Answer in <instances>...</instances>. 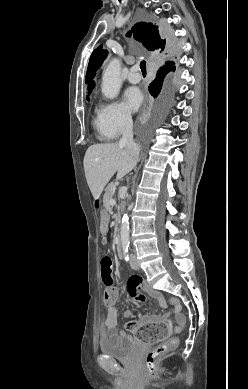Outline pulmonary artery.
<instances>
[{"mask_svg":"<svg viewBox=\"0 0 248 389\" xmlns=\"http://www.w3.org/2000/svg\"><path fill=\"white\" fill-rule=\"evenodd\" d=\"M127 79L130 83H138L141 80V75L138 73V66H133L128 75Z\"/></svg>","mask_w":248,"mask_h":389,"instance_id":"e3ab8cb5","label":"pulmonary artery"}]
</instances>
